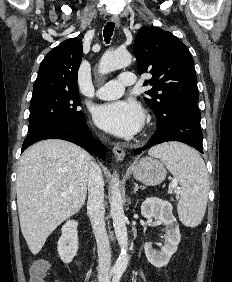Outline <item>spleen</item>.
Wrapping results in <instances>:
<instances>
[{
	"mask_svg": "<svg viewBox=\"0 0 232 282\" xmlns=\"http://www.w3.org/2000/svg\"><path fill=\"white\" fill-rule=\"evenodd\" d=\"M160 158L180 183L177 211L180 221L189 227L198 226L205 214L209 182L203 159L192 148L180 143H166L149 150Z\"/></svg>",
	"mask_w": 232,
	"mask_h": 282,
	"instance_id": "spleen-1",
	"label": "spleen"
}]
</instances>
